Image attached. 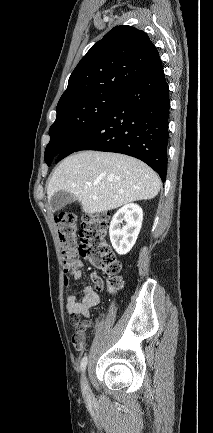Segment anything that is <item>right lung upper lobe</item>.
<instances>
[{
	"mask_svg": "<svg viewBox=\"0 0 213 433\" xmlns=\"http://www.w3.org/2000/svg\"><path fill=\"white\" fill-rule=\"evenodd\" d=\"M159 59L156 47L144 31L116 26L80 60L57 108L96 94L122 95Z\"/></svg>",
	"mask_w": 213,
	"mask_h": 433,
	"instance_id": "1",
	"label": "right lung upper lobe"
}]
</instances>
